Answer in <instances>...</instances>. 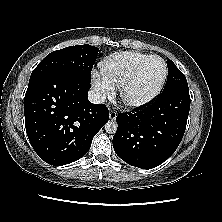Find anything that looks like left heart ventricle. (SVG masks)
I'll list each match as a JSON object with an SVG mask.
<instances>
[{
  "instance_id": "left-heart-ventricle-1",
  "label": "left heart ventricle",
  "mask_w": 222,
  "mask_h": 222,
  "mask_svg": "<svg viewBox=\"0 0 222 222\" xmlns=\"http://www.w3.org/2000/svg\"><path fill=\"white\" fill-rule=\"evenodd\" d=\"M164 73V66L160 59L151 60L144 68L140 78L129 91V96L133 99L146 97L160 83Z\"/></svg>"
}]
</instances>
